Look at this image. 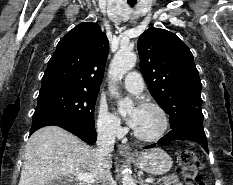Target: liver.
Masks as SVG:
<instances>
[{
	"mask_svg": "<svg viewBox=\"0 0 233 185\" xmlns=\"http://www.w3.org/2000/svg\"><path fill=\"white\" fill-rule=\"evenodd\" d=\"M111 166V155L99 166L95 149L60 127L46 126L34 132L26 144L18 185H50L55 179L81 172L100 180L101 170Z\"/></svg>",
	"mask_w": 233,
	"mask_h": 185,
	"instance_id": "obj_1",
	"label": "liver"
}]
</instances>
